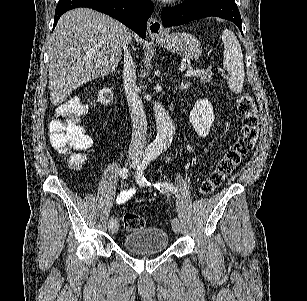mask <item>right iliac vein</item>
<instances>
[{"label": "right iliac vein", "instance_id": "obj_1", "mask_svg": "<svg viewBox=\"0 0 307 301\" xmlns=\"http://www.w3.org/2000/svg\"><path fill=\"white\" fill-rule=\"evenodd\" d=\"M128 160H129V164H130V166L132 168H136L138 166V159H137V157L131 155V156L128 157ZM118 230H119V221L116 220L115 224L112 227V232L113 233H117Z\"/></svg>", "mask_w": 307, "mask_h": 301}]
</instances>
